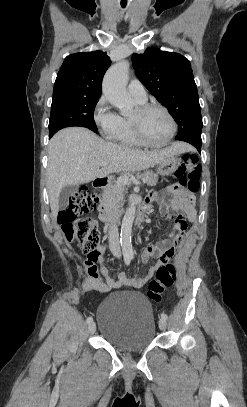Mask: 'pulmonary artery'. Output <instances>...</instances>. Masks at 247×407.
I'll use <instances>...</instances> for the list:
<instances>
[{
	"mask_svg": "<svg viewBox=\"0 0 247 407\" xmlns=\"http://www.w3.org/2000/svg\"><path fill=\"white\" fill-rule=\"evenodd\" d=\"M128 92L136 102L144 103L147 100L146 89L138 80H132L128 84Z\"/></svg>",
	"mask_w": 247,
	"mask_h": 407,
	"instance_id": "pulmonary-artery-1",
	"label": "pulmonary artery"
}]
</instances>
